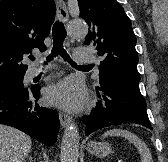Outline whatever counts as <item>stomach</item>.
<instances>
[{
	"label": "stomach",
	"mask_w": 168,
	"mask_h": 162,
	"mask_svg": "<svg viewBox=\"0 0 168 162\" xmlns=\"http://www.w3.org/2000/svg\"><path fill=\"white\" fill-rule=\"evenodd\" d=\"M87 151L98 157H105L111 153V147L106 142L92 141L88 144Z\"/></svg>",
	"instance_id": "obj_1"
}]
</instances>
